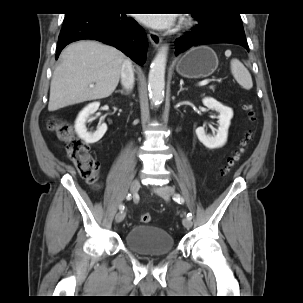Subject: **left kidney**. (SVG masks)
<instances>
[{"instance_id":"left-kidney-1","label":"left kidney","mask_w":303,"mask_h":303,"mask_svg":"<svg viewBox=\"0 0 303 303\" xmlns=\"http://www.w3.org/2000/svg\"><path fill=\"white\" fill-rule=\"evenodd\" d=\"M202 102L204 106L219 113V126L218 129L215 130V135H207L204 127H198L196 129V135L199 141L209 149L222 147L227 141L228 128L233 117V110L211 97H205Z\"/></svg>"}]
</instances>
